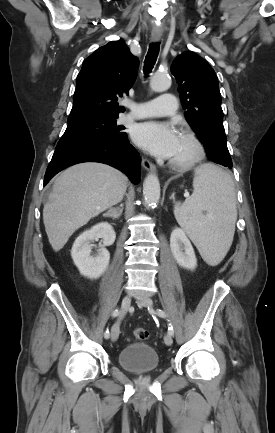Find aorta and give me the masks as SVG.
I'll return each mask as SVG.
<instances>
[{
	"label": "aorta",
	"mask_w": 275,
	"mask_h": 433,
	"mask_svg": "<svg viewBox=\"0 0 275 433\" xmlns=\"http://www.w3.org/2000/svg\"><path fill=\"white\" fill-rule=\"evenodd\" d=\"M171 85V79L167 74L157 73L150 80L153 91L162 92ZM143 195L148 207H154L160 199V183L155 174H148L143 182Z\"/></svg>",
	"instance_id": "762f6f07"
}]
</instances>
